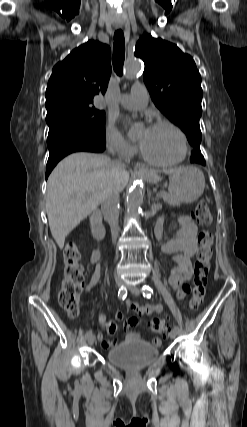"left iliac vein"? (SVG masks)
Here are the masks:
<instances>
[{
    "mask_svg": "<svg viewBox=\"0 0 247 427\" xmlns=\"http://www.w3.org/2000/svg\"><path fill=\"white\" fill-rule=\"evenodd\" d=\"M125 286L130 290V292H131L132 294H134V295H136V296L140 295V290H139V288H138L137 286H135V285H133V284H131V283L125 284ZM178 332H179V330H176V329H174V328H173V329L169 332V337H170L171 339H174V338L177 336Z\"/></svg>",
    "mask_w": 247,
    "mask_h": 427,
    "instance_id": "left-iliac-vein-1",
    "label": "left iliac vein"
}]
</instances>
